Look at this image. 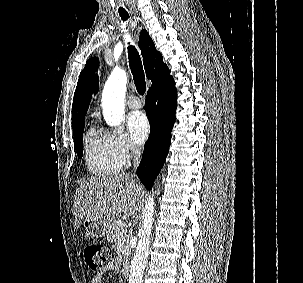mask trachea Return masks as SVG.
<instances>
[{"label": "trachea", "instance_id": "obj_1", "mask_svg": "<svg viewBox=\"0 0 303 283\" xmlns=\"http://www.w3.org/2000/svg\"><path fill=\"white\" fill-rule=\"evenodd\" d=\"M120 16L123 21L129 18L128 15H120ZM128 56H129V65L132 71L137 92L140 95H144L146 91L145 74H144L140 56L134 46L128 47Z\"/></svg>", "mask_w": 303, "mask_h": 283}]
</instances>
